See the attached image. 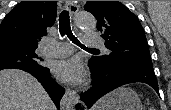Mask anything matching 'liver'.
I'll use <instances>...</instances> for the list:
<instances>
[{
	"label": "liver",
	"mask_w": 171,
	"mask_h": 110,
	"mask_svg": "<svg viewBox=\"0 0 171 110\" xmlns=\"http://www.w3.org/2000/svg\"><path fill=\"white\" fill-rule=\"evenodd\" d=\"M0 110H56V107L32 75L5 69L0 71Z\"/></svg>",
	"instance_id": "obj_1"
}]
</instances>
